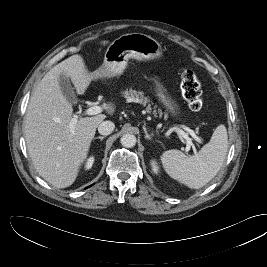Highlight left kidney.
<instances>
[{
	"instance_id": "obj_1",
	"label": "left kidney",
	"mask_w": 267,
	"mask_h": 267,
	"mask_svg": "<svg viewBox=\"0 0 267 267\" xmlns=\"http://www.w3.org/2000/svg\"><path fill=\"white\" fill-rule=\"evenodd\" d=\"M151 165H152V170L154 171V173H158L159 167H158V165H157L155 160L151 161Z\"/></svg>"
}]
</instances>
